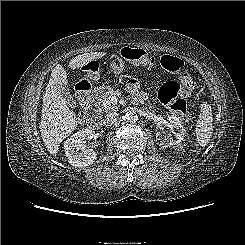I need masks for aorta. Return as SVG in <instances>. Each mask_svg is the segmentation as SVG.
Segmentation results:
<instances>
[{
	"label": "aorta",
	"instance_id": "762f6f07",
	"mask_svg": "<svg viewBox=\"0 0 245 245\" xmlns=\"http://www.w3.org/2000/svg\"><path fill=\"white\" fill-rule=\"evenodd\" d=\"M125 120L130 123H135L138 120V116L135 111H129L125 114Z\"/></svg>",
	"mask_w": 245,
	"mask_h": 245
}]
</instances>
